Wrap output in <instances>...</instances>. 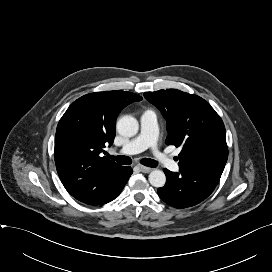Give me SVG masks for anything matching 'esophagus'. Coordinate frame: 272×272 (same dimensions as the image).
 Segmentation results:
<instances>
[{
    "label": "esophagus",
    "instance_id": "1",
    "mask_svg": "<svg viewBox=\"0 0 272 272\" xmlns=\"http://www.w3.org/2000/svg\"><path fill=\"white\" fill-rule=\"evenodd\" d=\"M138 167H139L140 171L143 173H149L153 170V168H149V167H146L143 165H139Z\"/></svg>",
    "mask_w": 272,
    "mask_h": 272
}]
</instances>
